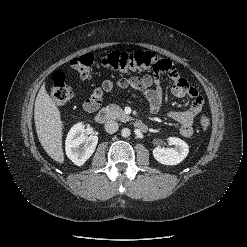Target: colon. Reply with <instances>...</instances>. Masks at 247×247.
I'll list each match as a JSON object with an SVG mask.
<instances>
[{
  "mask_svg": "<svg viewBox=\"0 0 247 247\" xmlns=\"http://www.w3.org/2000/svg\"><path fill=\"white\" fill-rule=\"evenodd\" d=\"M70 64L83 79L92 78L96 65L116 72L152 70L155 73H168L173 68L171 62L150 51L132 53L114 51L102 57L98 62L92 54L88 53L74 58ZM73 95V89L66 83L64 73L55 72L51 89L53 101L57 105H63L71 100ZM198 124L202 130H207L210 126L209 116L206 113H201L198 117Z\"/></svg>",
  "mask_w": 247,
  "mask_h": 247,
  "instance_id": "obj_1",
  "label": "colon"
}]
</instances>
